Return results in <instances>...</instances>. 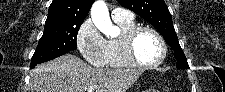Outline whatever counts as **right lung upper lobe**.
Listing matches in <instances>:
<instances>
[{
    "label": "right lung upper lobe",
    "instance_id": "right-lung-upper-lobe-1",
    "mask_svg": "<svg viewBox=\"0 0 225 92\" xmlns=\"http://www.w3.org/2000/svg\"><path fill=\"white\" fill-rule=\"evenodd\" d=\"M94 0H53L45 25L84 21Z\"/></svg>",
    "mask_w": 225,
    "mask_h": 92
}]
</instances>
